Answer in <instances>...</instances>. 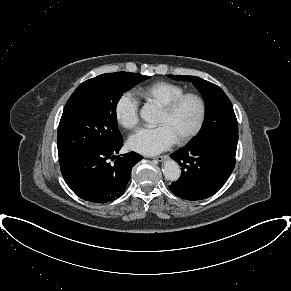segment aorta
Returning a JSON list of instances; mask_svg holds the SVG:
<instances>
[{"label": "aorta", "instance_id": "1", "mask_svg": "<svg viewBox=\"0 0 291 291\" xmlns=\"http://www.w3.org/2000/svg\"><path fill=\"white\" fill-rule=\"evenodd\" d=\"M157 114V108L151 104L144 105L140 111L141 118L151 125L156 123ZM162 171L165 178L170 181L178 180L181 174L180 166L174 160L165 161Z\"/></svg>", "mask_w": 291, "mask_h": 291}]
</instances>
